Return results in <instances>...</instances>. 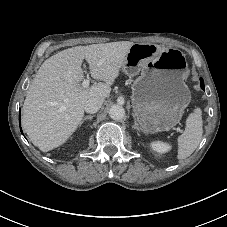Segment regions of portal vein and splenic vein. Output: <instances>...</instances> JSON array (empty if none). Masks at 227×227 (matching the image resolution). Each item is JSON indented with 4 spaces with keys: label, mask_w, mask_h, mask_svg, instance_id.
I'll return each mask as SVG.
<instances>
[{
    "label": "portal vein and splenic vein",
    "mask_w": 227,
    "mask_h": 227,
    "mask_svg": "<svg viewBox=\"0 0 227 227\" xmlns=\"http://www.w3.org/2000/svg\"><path fill=\"white\" fill-rule=\"evenodd\" d=\"M89 84H90V81H89L88 78L84 79L83 82H82V86H83L84 88L89 87ZM177 131H180V129L177 128Z\"/></svg>",
    "instance_id": "obj_1"
}]
</instances>
